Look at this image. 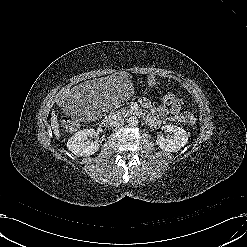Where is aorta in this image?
<instances>
[{
    "label": "aorta",
    "instance_id": "762f6f07",
    "mask_svg": "<svg viewBox=\"0 0 247 247\" xmlns=\"http://www.w3.org/2000/svg\"><path fill=\"white\" fill-rule=\"evenodd\" d=\"M127 123L129 126H137L139 121H138V118L136 116H131L127 119Z\"/></svg>",
    "mask_w": 247,
    "mask_h": 247
}]
</instances>
